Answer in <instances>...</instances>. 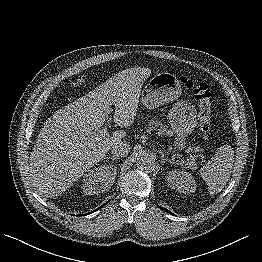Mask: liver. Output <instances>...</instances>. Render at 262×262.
Returning <instances> with one entry per match:
<instances>
[{
	"label": "liver",
	"instance_id": "1",
	"mask_svg": "<svg viewBox=\"0 0 262 262\" xmlns=\"http://www.w3.org/2000/svg\"><path fill=\"white\" fill-rule=\"evenodd\" d=\"M148 68L124 70L77 101L58 110L40 131L30 155L27 176L39 195L58 196L101 161L112 145L126 136L122 130L96 139L113 112L114 122L129 127L137 113Z\"/></svg>",
	"mask_w": 262,
	"mask_h": 262
}]
</instances>
